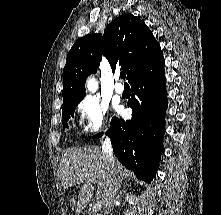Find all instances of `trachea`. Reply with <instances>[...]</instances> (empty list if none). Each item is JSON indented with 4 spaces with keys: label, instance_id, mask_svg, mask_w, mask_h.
<instances>
[{
    "label": "trachea",
    "instance_id": "trachea-1",
    "mask_svg": "<svg viewBox=\"0 0 221 215\" xmlns=\"http://www.w3.org/2000/svg\"><path fill=\"white\" fill-rule=\"evenodd\" d=\"M120 77L124 79V78L126 77V73H125L124 71L121 72V73H120Z\"/></svg>",
    "mask_w": 221,
    "mask_h": 215
}]
</instances>
